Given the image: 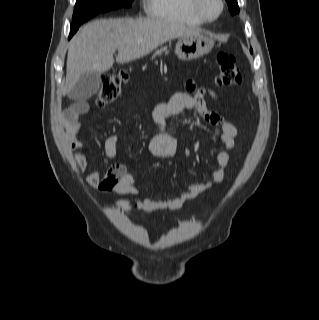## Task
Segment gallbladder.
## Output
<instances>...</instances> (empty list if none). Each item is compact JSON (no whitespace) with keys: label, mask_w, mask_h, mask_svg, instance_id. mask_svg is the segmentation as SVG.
Here are the masks:
<instances>
[{"label":"gallbladder","mask_w":319,"mask_h":320,"mask_svg":"<svg viewBox=\"0 0 319 320\" xmlns=\"http://www.w3.org/2000/svg\"><path fill=\"white\" fill-rule=\"evenodd\" d=\"M101 85V76L97 72L84 74L68 93V98L75 101H84L98 92Z\"/></svg>","instance_id":"1"}]
</instances>
